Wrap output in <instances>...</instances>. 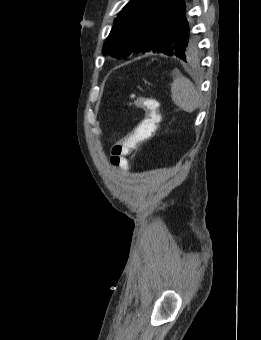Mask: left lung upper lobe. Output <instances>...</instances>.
Returning a JSON list of instances; mask_svg holds the SVG:
<instances>
[{
  "instance_id": "left-lung-upper-lobe-1",
  "label": "left lung upper lobe",
  "mask_w": 261,
  "mask_h": 340,
  "mask_svg": "<svg viewBox=\"0 0 261 340\" xmlns=\"http://www.w3.org/2000/svg\"><path fill=\"white\" fill-rule=\"evenodd\" d=\"M166 0H131L118 14L103 53L116 58L132 53L159 52L183 61L198 56V39L187 14L178 20L160 12Z\"/></svg>"
}]
</instances>
